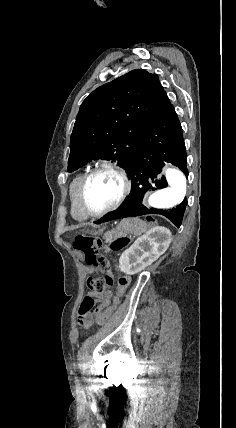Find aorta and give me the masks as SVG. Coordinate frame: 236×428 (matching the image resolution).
Returning <instances> with one entry per match:
<instances>
[{
    "instance_id": "762f6f07",
    "label": "aorta",
    "mask_w": 236,
    "mask_h": 428,
    "mask_svg": "<svg viewBox=\"0 0 236 428\" xmlns=\"http://www.w3.org/2000/svg\"><path fill=\"white\" fill-rule=\"evenodd\" d=\"M165 176L168 187L152 193L148 204L157 209H169L178 205L186 194V178L177 168H167Z\"/></svg>"
}]
</instances>
